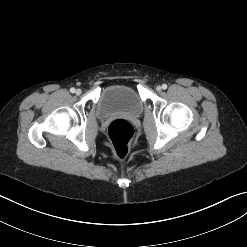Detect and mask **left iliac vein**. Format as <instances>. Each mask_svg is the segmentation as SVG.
I'll list each match as a JSON object with an SVG mask.
<instances>
[{
  "label": "left iliac vein",
  "mask_w": 247,
  "mask_h": 247,
  "mask_svg": "<svg viewBox=\"0 0 247 247\" xmlns=\"http://www.w3.org/2000/svg\"><path fill=\"white\" fill-rule=\"evenodd\" d=\"M156 90H157V91H161V90H162V87H161V86H157V87H156Z\"/></svg>",
  "instance_id": "1"
}]
</instances>
